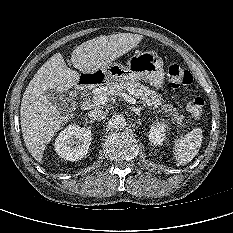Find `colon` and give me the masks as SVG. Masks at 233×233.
<instances>
[{
	"label": "colon",
	"mask_w": 233,
	"mask_h": 233,
	"mask_svg": "<svg viewBox=\"0 0 233 233\" xmlns=\"http://www.w3.org/2000/svg\"><path fill=\"white\" fill-rule=\"evenodd\" d=\"M169 83L174 88L190 85L193 81L192 74L178 64H170L167 68ZM205 105L201 95H195L187 104L188 112L195 118L201 116Z\"/></svg>",
	"instance_id": "5ec220e1"
}]
</instances>
